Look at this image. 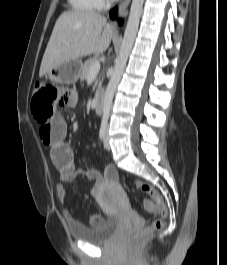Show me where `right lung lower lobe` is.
<instances>
[{"label":"right lung lower lobe","instance_id":"obj_1","mask_svg":"<svg viewBox=\"0 0 227 265\" xmlns=\"http://www.w3.org/2000/svg\"><path fill=\"white\" fill-rule=\"evenodd\" d=\"M116 14H117V8L111 11V13H110L111 18H113V19L116 18ZM121 22L122 21L119 20V24H121Z\"/></svg>","mask_w":227,"mask_h":265}]
</instances>
